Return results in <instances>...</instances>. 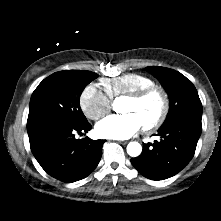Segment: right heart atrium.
Wrapping results in <instances>:
<instances>
[{"instance_id":"1","label":"right heart atrium","mask_w":221,"mask_h":221,"mask_svg":"<svg viewBox=\"0 0 221 221\" xmlns=\"http://www.w3.org/2000/svg\"><path fill=\"white\" fill-rule=\"evenodd\" d=\"M79 105L90 120H99L111 110V99L96 85L88 84L81 92Z\"/></svg>"}]
</instances>
